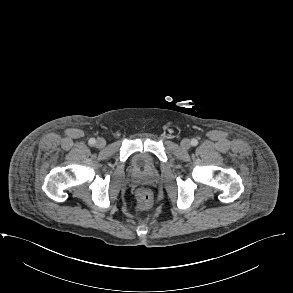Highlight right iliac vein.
Wrapping results in <instances>:
<instances>
[{
    "mask_svg": "<svg viewBox=\"0 0 293 293\" xmlns=\"http://www.w3.org/2000/svg\"><path fill=\"white\" fill-rule=\"evenodd\" d=\"M105 145H106V141H105V139H103V138H99V139H97V141H96V146H97L98 148H103Z\"/></svg>",
    "mask_w": 293,
    "mask_h": 293,
    "instance_id": "obj_1",
    "label": "right iliac vein"
}]
</instances>
